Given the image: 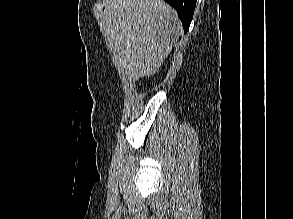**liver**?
Wrapping results in <instances>:
<instances>
[{
  "label": "liver",
  "instance_id": "obj_1",
  "mask_svg": "<svg viewBox=\"0 0 293 219\" xmlns=\"http://www.w3.org/2000/svg\"><path fill=\"white\" fill-rule=\"evenodd\" d=\"M104 35L118 69L128 79L153 75L182 32L163 0H105Z\"/></svg>",
  "mask_w": 293,
  "mask_h": 219
}]
</instances>
